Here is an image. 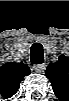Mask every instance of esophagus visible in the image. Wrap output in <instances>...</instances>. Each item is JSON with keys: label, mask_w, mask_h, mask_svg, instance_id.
Returning a JSON list of instances; mask_svg holds the SVG:
<instances>
[{"label": "esophagus", "mask_w": 69, "mask_h": 101, "mask_svg": "<svg viewBox=\"0 0 69 101\" xmlns=\"http://www.w3.org/2000/svg\"><path fill=\"white\" fill-rule=\"evenodd\" d=\"M33 68L36 72L43 73L46 68V65L45 64H36L33 66Z\"/></svg>", "instance_id": "1"}]
</instances>
